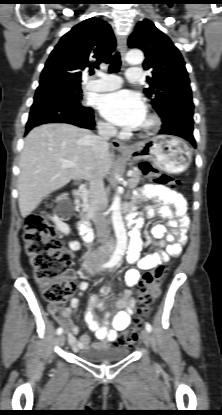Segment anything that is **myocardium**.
Masks as SVG:
<instances>
[{
    "mask_svg": "<svg viewBox=\"0 0 222 415\" xmlns=\"http://www.w3.org/2000/svg\"><path fill=\"white\" fill-rule=\"evenodd\" d=\"M146 122L138 128L141 135H151L161 126V119L154 113L147 112L145 115Z\"/></svg>",
    "mask_w": 222,
    "mask_h": 415,
    "instance_id": "myocardium-1",
    "label": "myocardium"
}]
</instances>
